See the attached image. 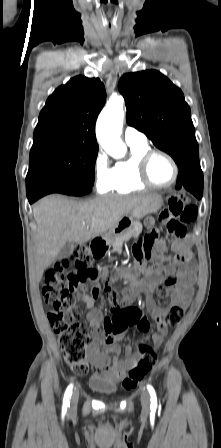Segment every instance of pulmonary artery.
Here are the masks:
<instances>
[{"mask_svg":"<svg viewBox=\"0 0 221 448\" xmlns=\"http://www.w3.org/2000/svg\"><path fill=\"white\" fill-rule=\"evenodd\" d=\"M124 140L129 145H145L147 144V137L144 133L139 131L138 129L127 126L124 131Z\"/></svg>","mask_w":221,"mask_h":448,"instance_id":"1","label":"pulmonary artery"}]
</instances>
